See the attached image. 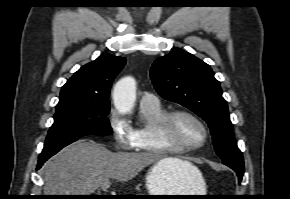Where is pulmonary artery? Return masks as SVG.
I'll list each match as a JSON object with an SVG mask.
<instances>
[{"instance_id":"obj_1","label":"pulmonary artery","mask_w":290,"mask_h":199,"mask_svg":"<svg viewBox=\"0 0 290 199\" xmlns=\"http://www.w3.org/2000/svg\"><path fill=\"white\" fill-rule=\"evenodd\" d=\"M140 105L156 107L160 105V102L157 96H155L154 94L150 92H144L140 97Z\"/></svg>"}]
</instances>
